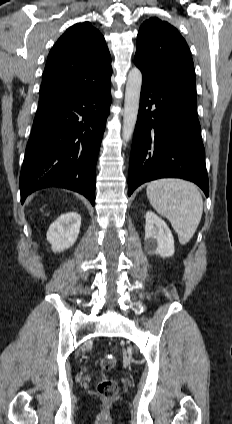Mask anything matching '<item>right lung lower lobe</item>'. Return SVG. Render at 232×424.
<instances>
[{"mask_svg": "<svg viewBox=\"0 0 232 424\" xmlns=\"http://www.w3.org/2000/svg\"><path fill=\"white\" fill-rule=\"evenodd\" d=\"M110 104V85L39 103L20 173L21 203L54 186L79 192L94 205L95 168Z\"/></svg>", "mask_w": 232, "mask_h": 424, "instance_id": "1", "label": "right lung lower lobe"}]
</instances>
